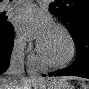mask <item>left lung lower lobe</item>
I'll list each match as a JSON object with an SVG mask.
<instances>
[{
    "instance_id": "1",
    "label": "left lung lower lobe",
    "mask_w": 89,
    "mask_h": 89,
    "mask_svg": "<svg viewBox=\"0 0 89 89\" xmlns=\"http://www.w3.org/2000/svg\"><path fill=\"white\" fill-rule=\"evenodd\" d=\"M72 38L77 48L75 61L65 69L49 73V76H81L89 79V28H81Z\"/></svg>"
}]
</instances>
